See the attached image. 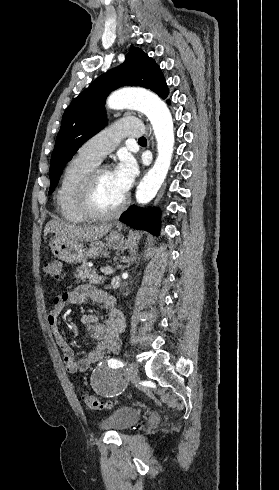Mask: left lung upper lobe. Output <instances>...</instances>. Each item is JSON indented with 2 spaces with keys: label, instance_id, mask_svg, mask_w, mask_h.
<instances>
[{
  "label": "left lung upper lobe",
  "instance_id": "obj_1",
  "mask_svg": "<svg viewBox=\"0 0 279 490\" xmlns=\"http://www.w3.org/2000/svg\"><path fill=\"white\" fill-rule=\"evenodd\" d=\"M151 89L161 98L169 90L159 66L139 48H132L123 64L102 74L77 96L66 109L50 161L51 194L61 170L76 151L107 123L103 104L112 90L121 86Z\"/></svg>",
  "mask_w": 279,
  "mask_h": 490
}]
</instances>
